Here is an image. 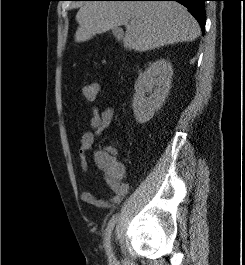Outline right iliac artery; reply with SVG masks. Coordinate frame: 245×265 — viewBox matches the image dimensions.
Segmentation results:
<instances>
[{
	"instance_id": "1",
	"label": "right iliac artery",
	"mask_w": 245,
	"mask_h": 265,
	"mask_svg": "<svg viewBox=\"0 0 245 265\" xmlns=\"http://www.w3.org/2000/svg\"><path fill=\"white\" fill-rule=\"evenodd\" d=\"M117 221V215H113L112 218L110 219L108 226L106 228V233H105V238H104V246L106 249V252L109 256V258L113 257V254L111 252V247H110V237H111V233L114 229L115 223Z\"/></svg>"
}]
</instances>
